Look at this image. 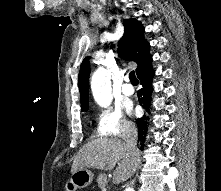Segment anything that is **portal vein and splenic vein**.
Segmentation results:
<instances>
[{
  "label": "portal vein and splenic vein",
  "instance_id": "18ae733b",
  "mask_svg": "<svg viewBox=\"0 0 221 191\" xmlns=\"http://www.w3.org/2000/svg\"><path fill=\"white\" fill-rule=\"evenodd\" d=\"M102 191H106V188H103Z\"/></svg>",
  "mask_w": 221,
  "mask_h": 191
}]
</instances>
